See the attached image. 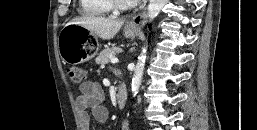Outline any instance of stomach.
I'll return each instance as SVG.
<instances>
[{
	"mask_svg": "<svg viewBox=\"0 0 257 130\" xmlns=\"http://www.w3.org/2000/svg\"><path fill=\"white\" fill-rule=\"evenodd\" d=\"M138 33L137 27L125 25L124 35L128 38H134ZM92 33L77 24H66L59 34L58 48L62 60L68 64H80L92 59L98 51V48L89 41Z\"/></svg>",
	"mask_w": 257,
	"mask_h": 130,
	"instance_id": "0dacf381",
	"label": "stomach"
}]
</instances>
